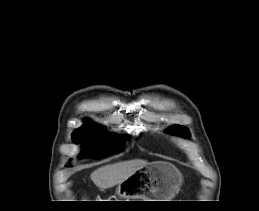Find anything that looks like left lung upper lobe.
Returning <instances> with one entry per match:
<instances>
[{"instance_id": "left-lung-upper-lobe-1", "label": "left lung upper lobe", "mask_w": 259, "mask_h": 211, "mask_svg": "<svg viewBox=\"0 0 259 211\" xmlns=\"http://www.w3.org/2000/svg\"><path fill=\"white\" fill-rule=\"evenodd\" d=\"M169 132L171 134H179V135H182L184 137L190 136L189 131L185 127H182V126H175Z\"/></svg>"}]
</instances>
